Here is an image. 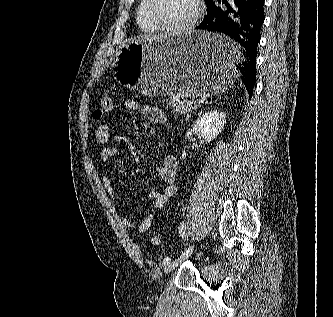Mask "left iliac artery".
<instances>
[{
  "label": "left iliac artery",
  "mask_w": 333,
  "mask_h": 317,
  "mask_svg": "<svg viewBox=\"0 0 333 317\" xmlns=\"http://www.w3.org/2000/svg\"><path fill=\"white\" fill-rule=\"evenodd\" d=\"M185 232H186V224H185V222H182L181 223V225H180V227H179V234H180V236L182 237V238H186V234H185ZM189 252V249L186 251V253H188ZM185 254V253H184ZM183 254V255H184ZM171 262V258L170 257H166L164 260H163V265H167V264H169Z\"/></svg>",
  "instance_id": "44dca946"
}]
</instances>
